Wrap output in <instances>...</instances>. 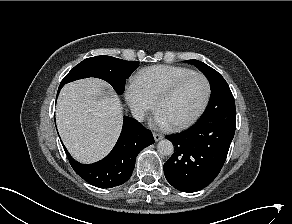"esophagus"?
Returning <instances> with one entry per match:
<instances>
[{
  "label": "esophagus",
  "instance_id": "esophagus-1",
  "mask_svg": "<svg viewBox=\"0 0 292 224\" xmlns=\"http://www.w3.org/2000/svg\"><path fill=\"white\" fill-rule=\"evenodd\" d=\"M153 137H154V140L157 142L161 139H163V135L159 134V133H153Z\"/></svg>",
  "mask_w": 292,
  "mask_h": 224
}]
</instances>
